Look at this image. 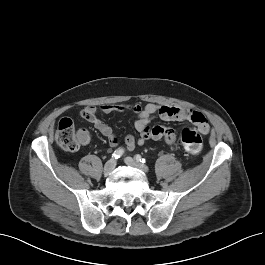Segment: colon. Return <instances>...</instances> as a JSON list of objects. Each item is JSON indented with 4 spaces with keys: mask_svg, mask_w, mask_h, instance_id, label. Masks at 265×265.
Here are the masks:
<instances>
[{
    "mask_svg": "<svg viewBox=\"0 0 265 265\" xmlns=\"http://www.w3.org/2000/svg\"><path fill=\"white\" fill-rule=\"evenodd\" d=\"M55 138L57 144L65 151L74 152L80 148L78 132L69 118L59 121ZM181 144L187 153L197 155L202 150L203 139L199 131L187 127L181 132Z\"/></svg>",
    "mask_w": 265,
    "mask_h": 265,
    "instance_id": "colon-1",
    "label": "colon"
}]
</instances>
